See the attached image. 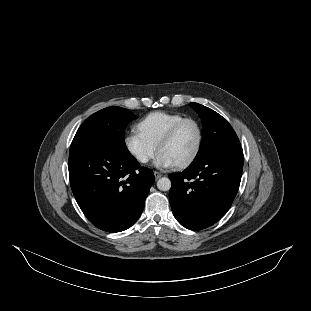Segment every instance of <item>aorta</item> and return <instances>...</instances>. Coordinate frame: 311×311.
I'll use <instances>...</instances> for the list:
<instances>
[{
    "mask_svg": "<svg viewBox=\"0 0 311 311\" xmlns=\"http://www.w3.org/2000/svg\"><path fill=\"white\" fill-rule=\"evenodd\" d=\"M157 188L161 191H168L171 188V180L167 177H162L157 181Z\"/></svg>",
    "mask_w": 311,
    "mask_h": 311,
    "instance_id": "1",
    "label": "aorta"
}]
</instances>
